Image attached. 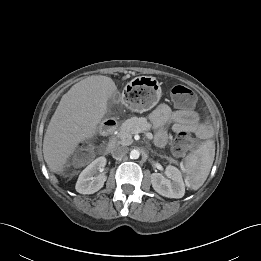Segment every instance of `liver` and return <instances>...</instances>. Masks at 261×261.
Segmentation results:
<instances>
[{
	"mask_svg": "<svg viewBox=\"0 0 261 261\" xmlns=\"http://www.w3.org/2000/svg\"><path fill=\"white\" fill-rule=\"evenodd\" d=\"M115 93V82L98 75L74 84L62 96L43 140L44 160L51 172L63 173L78 145L96 135L108 99Z\"/></svg>",
	"mask_w": 261,
	"mask_h": 261,
	"instance_id": "1",
	"label": "liver"
}]
</instances>
